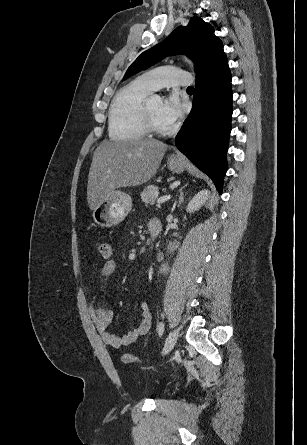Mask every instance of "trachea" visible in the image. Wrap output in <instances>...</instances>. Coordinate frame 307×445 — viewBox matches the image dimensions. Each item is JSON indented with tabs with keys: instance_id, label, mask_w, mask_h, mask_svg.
Instances as JSON below:
<instances>
[{
	"instance_id": "trachea-1",
	"label": "trachea",
	"mask_w": 307,
	"mask_h": 445,
	"mask_svg": "<svg viewBox=\"0 0 307 445\" xmlns=\"http://www.w3.org/2000/svg\"><path fill=\"white\" fill-rule=\"evenodd\" d=\"M188 90H194V87H187Z\"/></svg>"
}]
</instances>
